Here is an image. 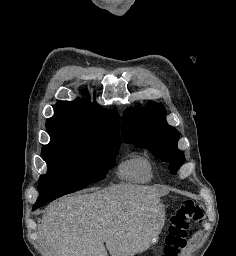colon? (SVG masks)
Listing matches in <instances>:
<instances>
[{
    "mask_svg": "<svg viewBox=\"0 0 236 256\" xmlns=\"http://www.w3.org/2000/svg\"><path fill=\"white\" fill-rule=\"evenodd\" d=\"M202 220L203 211L199 202L185 200L170 217L163 255L181 256L186 247L190 222L200 224Z\"/></svg>",
    "mask_w": 236,
    "mask_h": 256,
    "instance_id": "colon-1",
    "label": "colon"
}]
</instances>
